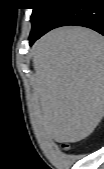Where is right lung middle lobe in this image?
<instances>
[{
    "instance_id": "1",
    "label": "right lung middle lobe",
    "mask_w": 104,
    "mask_h": 169,
    "mask_svg": "<svg viewBox=\"0 0 104 169\" xmlns=\"http://www.w3.org/2000/svg\"><path fill=\"white\" fill-rule=\"evenodd\" d=\"M57 6V0H34L31 15L32 31L38 30L56 10Z\"/></svg>"
}]
</instances>
